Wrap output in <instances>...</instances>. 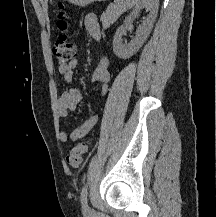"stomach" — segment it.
Here are the masks:
<instances>
[{
  "mask_svg": "<svg viewBox=\"0 0 216 217\" xmlns=\"http://www.w3.org/2000/svg\"><path fill=\"white\" fill-rule=\"evenodd\" d=\"M64 1H68L72 4L80 6V7H84V6H87L93 2H101V1H106V0H64Z\"/></svg>",
  "mask_w": 216,
  "mask_h": 217,
  "instance_id": "obj_1",
  "label": "stomach"
}]
</instances>
